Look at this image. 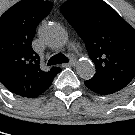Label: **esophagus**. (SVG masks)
<instances>
[{"label":"esophagus","mask_w":135,"mask_h":135,"mask_svg":"<svg viewBox=\"0 0 135 135\" xmlns=\"http://www.w3.org/2000/svg\"><path fill=\"white\" fill-rule=\"evenodd\" d=\"M77 64L76 60L72 59L69 63L64 64L65 66H75Z\"/></svg>","instance_id":"34e87169"}]
</instances>
